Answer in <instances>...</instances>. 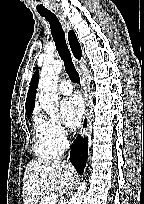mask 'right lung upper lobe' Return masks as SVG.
Masks as SVG:
<instances>
[{"label": "right lung upper lobe", "mask_w": 144, "mask_h": 204, "mask_svg": "<svg viewBox=\"0 0 144 204\" xmlns=\"http://www.w3.org/2000/svg\"><path fill=\"white\" fill-rule=\"evenodd\" d=\"M68 40H69V44L71 47V50L74 54V56L77 59H80L82 52H81V48L80 45L78 43V40L75 36V34L73 33V31H70L68 33ZM38 78H39V72L36 71L33 75V78L31 80V84L29 87V91H28V95H27V99H26V114L27 117H30L33 109H34V105H35V93H36V88L38 85Z\"/></svg>", "instance_id": "right-lung-upper-lobe-1"}]
</instances>
